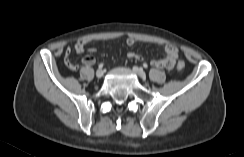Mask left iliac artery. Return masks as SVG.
Wrapping results in <instances>:
<instances>
[{
    "label": "left iliac artery",
    "mask_w": 244,
    "mask_h": 157,
    "mask_svg": "<svg viewBox=\"0 0 244 157\" xmlns=\"http://www.w3.org/2000/svg\"><path fill=\"white\" fill-rule=\"evenodd\" d=\"M143 66H144L145 68L147 67V65H146V64H144Z\"/></svg>",
    "instance_id": "obj_1"
}]
</instances>
